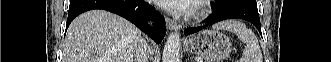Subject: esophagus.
I'll return each instance as SVG.
<instances>
[{"label":"esophagus","mask_w":331,"mask_h":62,"mask_svg":"<svg viewBox=\"0 0 331 62\" xmlns=\"http://www.w3.org/2000/svg\"><path fill=\"white\" fill-rule=\"evenodd\" d=\"M166 26L169 30H179L180 25L175 21L170 18H166Z\"/></svg>","instance_id":"obj_1"}]
</instances>
